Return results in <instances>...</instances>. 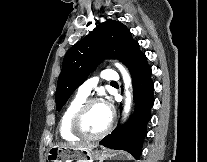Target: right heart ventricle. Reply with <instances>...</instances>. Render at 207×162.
<instances>
[{
    "instance_id": "right-heart-ventricle-1",
    "label": "right heart ventricle",
    "mask_w": 207,
    "mask_h": 162,
    "mask_svg": "<svg viewBox=\"0 0 207 162\" xmlns=\"http://www.w3.org/2000/svg\"><path fill=\"white\" fill-rule=\"evenodd\" d=\"M86 98L87 97L77 94L64 109L58 125L59 134L63 140L77 141L80 139L79 137H77L71 132L70 121L74 112L86 100Z\"/></svg>"
}]
</instances>
